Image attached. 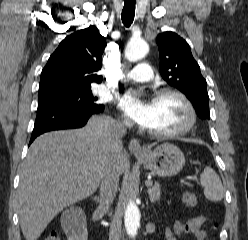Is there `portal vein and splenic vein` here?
Here are the masks:
<instances>
[{
	"instance_id": "obj_1",
	"label": "portal vein and splenic vein",
	"mask_w": 248,
	"mask_h": 240,
	"mask_svg": "<svg viewBox=\"0 0 248 240\" xmlns=\"http://www.w3.org/2000/svg\"><path fill=\"white\" fill-rule=\"evenodd\" d=\"M145 185H146V186H151V185H152V181H146V182H145Z\"/></svg>"
}]
</instances>
